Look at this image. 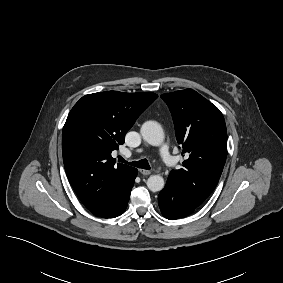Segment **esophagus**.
<instances>
[{
    "label": "esophagus",
    "mask_w": 283,
    "mask_h": 283,
    "mask_svg": "<svg viewBox=\"0 0 283 283\" xmlns=\"http://www.w3.org/2000/svg\"><path fill=\"white\" fill-rule=\"evenodd\" d=\"M139 171H140V173L143 174V175H150V174H151V171H150V170L140 169Z\"/></svg>",
    "instance_id": "1"
}]
</instances>
